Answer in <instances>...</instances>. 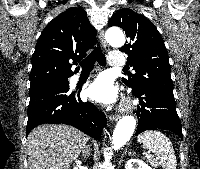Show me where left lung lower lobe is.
Returning a JSON list of instances; mask_svg holds the SVG:
<instances>
[{"label": "left lung lower lobe", "mask_w": 200, "mask_h": 169, "mask_svg": "<svg viewBox=\"0 0 200 169\" xmlns=\"http://www.w3.org/2000/svg\"><path fill=\"white\" fill-rule=\"evenodd\" d=\"M133 95L140 101L137 112L138 127L135 135L146 130L165 129L176 133L183 139L173 90L147 86Z\"/></svg>", "instance_id": "0a47b994"}]
</instances>
